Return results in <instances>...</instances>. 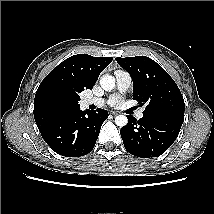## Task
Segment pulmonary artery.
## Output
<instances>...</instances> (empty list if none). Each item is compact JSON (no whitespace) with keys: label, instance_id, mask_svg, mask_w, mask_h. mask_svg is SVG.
<instances>
[{"label":"pulmonary artery","instance_id":"obj_1","mask_svg":"<svg viewBox=\"0 0 214 214\" xmlns=\"http://www.w3.org/2000/svg\"><path fill=\"white\" fill-rule=\"evenodd\" d=\"M115 78L117 83V89L120 92H125L131 86L132 79L129 73H127L126 71L116 70ZM84 104L86 106H89V105L103 106L105 104V101L102 98L90 97L84 100ZM142 117H143V111L142 110L138 111L136 113V118L141 119Z\"/></svg>","mask_w":214,"mask_h":214}]
</instances>
